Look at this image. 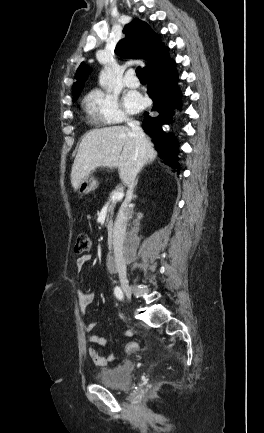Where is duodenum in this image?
<instances>
[{
    "mask_svg": "<svg viewBox=\"0 0 264 433\" xmlns=\"http://www.w3.org/2000/svg\"><path fill=\"white\" fill-rule=\"evenodd\" d=\"M115 239H116V228L113 224H107V243L108 246L114 250V254H115V249H116V243H115Z\"/></svg>",
    "mask_w": 264,
    "mask_h": 433,
    "instance_id": "duodenum-1",
    "label": "duodenum"
}]
</instances>
